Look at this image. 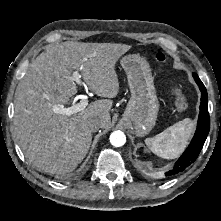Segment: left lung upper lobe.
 Returning a JSON list of instances; mask_svg holds the SVG:
<instances>
[{
  "mask_svg": "<svg viewBox=\"0 0 221 221\" xmlns=\"http://www.w3.org/2000/svg\"><path fill=\"white\" fill-rule=\"evenodd\" d=\"M193 77H194V78H196V77H198V75H197V74H195V73H193Z\"/></svg>",
  "mask_w": 221,
  "mask_h": 221,
  "instance_id": "1",
  "label": "left lung upper lobe"
}]
</instances>
